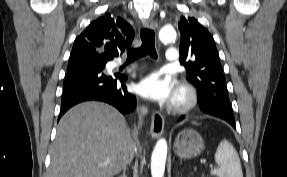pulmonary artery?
<instances>
[{"instance_id":"e3ab8cb5","label":"pulmonary artery","mask_w":287,"mask_h":177,"mask_svg":"<svg viewBox=\"0 0 287 177\" xmlns=\"http://www.w3.org/2000/svg\"><path fill=\"white\" fill-rule=\"evenodd\" d=\"M164 62L166 66H172L177 63V49L176 48L171 47L166 51Z\"/></svg>"}]
</instances>
